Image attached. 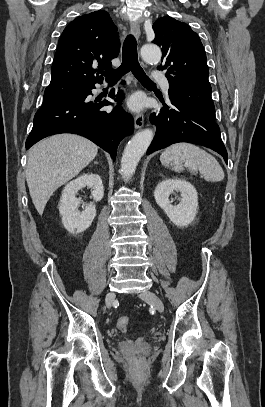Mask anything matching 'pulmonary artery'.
Returning a JSON list of instances; mask_svg holds the SVG:
<instances>
[{"instance_id": "obj_1", "label": "pulmonary artery", "mask_w": 265, "mask_h": 407, "mask_svg": "<svg viewBox=\"0 0 265 407\" xmlns=\"http://www.w3.org/2000/svg\"><path fill=\"white\" fill-rule=\"evenodd\" d=\"M153 79H154L157 83L161 84V85L163 86V88H164L165 91H168L169 84H168V80H167V78L165 77V75H163V74L160 73V72H155L154 75H153Z\"/></svg>"}]
</instances>
